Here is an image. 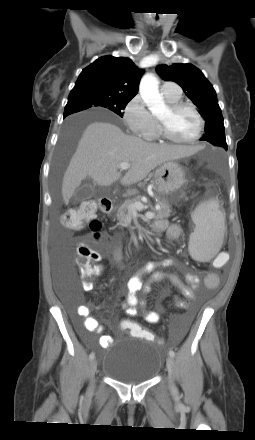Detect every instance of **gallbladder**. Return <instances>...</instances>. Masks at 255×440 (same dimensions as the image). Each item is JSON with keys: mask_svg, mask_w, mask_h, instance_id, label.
Instances as JSON below:
<instances>
[{"mask_svg": "<svg viewBox=\"0 0 255 440\" xmlns=\"http://www.w3.org/2000/svg\"><path fill=\"white\" fill-rule=\"evenodd\" d=\"M94 186L95 184L84 183L81 187H79L72 196V201L81 202L91 198L94 195Z\"/></svg>", "mask_w": 255, "mask_h": 440, "instance_id": "bac80fb5", "label": "gallbladder"}]
</instances>
